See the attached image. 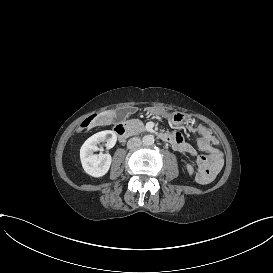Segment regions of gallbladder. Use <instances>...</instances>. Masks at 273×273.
<instances>
[{
  "label": "gallbladder",
  "mask_w": 273,
  "mask_h": 273,
  "mask_svg": "<svg viewBox=\"0 0 273 273\" xmlns=\"http://www.w3.org/2000/svg\"><path fill=\"white\" fill-rule=\"evenodd\" d=\"M135 111H136L135 108L132 106L131 107L129 106L126 109L125 108L118 109L116 111V121L121 122L125 120L127 114L132 115L135 113Z\"/></svg>",
  "instance_id": "1"
}]
</instances>
